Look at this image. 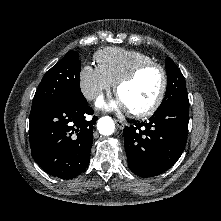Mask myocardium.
Instances as JSON below:
<instances>
[{"label":"myocardium","mask_w":221,"mask_h":221,"mask_svg":"<svg viewBox=\"0 0 221 221\" xmlns=\"http://www.w3.org/2000/svg\"><path fill=\"white\" fill-rule=\"evenodd\" d=\"M151 68H156L160 71L161 73V77H162V84H161V88L160 91L155 99V101L147 108L143 109V110H137V111H130V114L133 117L136 118H144V117H148L151 116L152 114H154L158 108L161 106L166 92H167V88H168V75L167 72L165 70V68L156 63V62H147V63H142L137 65L135 68H133L131 71H129L127 74H125L123 77H121L116 85H115V91L116 93L119 92V90L126 84L132 82L134 79H136L143 71L147 70V69H151Z\"/></svg>","instance_id":"obj_1"}]
</instances>
